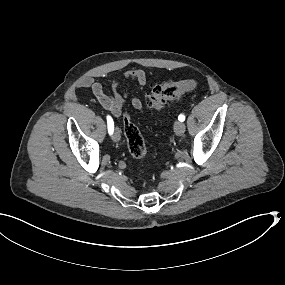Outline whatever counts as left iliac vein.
I'll use <instances>...</instances> for the list:
<instances>
[{
  "mask_svg": "<svg viewBox=\"0 0 285 285\" xmlns=\"http://www.w3.org/2000/svg\"><path fill=\"white\" fill-rule=\"evenodd\" d=\"M174 132L176 135L181 136L185 132V124L181 121L174 123Z\"/></svg>",
  "mask_w": 285,
  "mask_h": 285,
  "instance_id": "obj_1",
  "label": "left iliac vein"
}]
</instances>
